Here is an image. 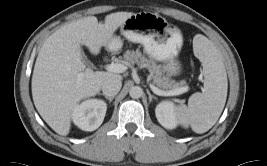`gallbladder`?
<instances>
[{
    "mask_svg": "<svg viewBox=\"0 0 267 166\" xmlns=\"http://www.w3.org/2000/svg\"><path fill=\"white\" fill-rule=\"evenodd\" d=\"M81 58H82V60H83L85 63L89 64V61H88V59L86 58V56H85V54L83 53L82 50H81Z\"/></svg>",
    "mask_w": 267,
    "mask_h": 166,
    "instance_id": "1",
    "label": "gallbladder"
}]
</instances>
